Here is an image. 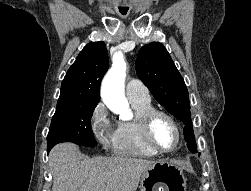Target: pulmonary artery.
Segmentation results:
<instances>
[{
    "mask_svg": "<svg viewBox=\"0 0 251 191\" xmlns=\"http://www.w3.org/2000/svg\"><path fill=\"white\" fill-rule=\"evenodd\" d=\"M126 95L129 100L145 99L151 100L150 95H147L143 85L137 80H130L126 84Z\"/></svg>",
    "mask_w": 251,
    "mask_h": 191,
    "instance_id": "1",
    "label": "pulmonary artery"
}]
</instances>
